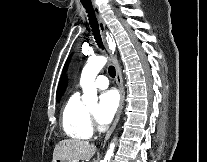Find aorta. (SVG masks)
Here are the masks:
<instances>
[{
	"label": "aorta",
	"mask_w": 207,
	"mask_h": 162,
	"mask_svg": "<svg viewBox=\"0 0 207 162\" xmlns=\"http://www.w3.org/2000/svg\"><path fill=\"white\" fill-rule=\"evenodd\" d=\"M107 62L106 57L92 56L89 57L85 67L82 70L80 85L83 90L82 100L87 106L96 105L98 101L97 89L95 85V78L100 70L105 66ZM115 144H110L103 162H110L111 157L114 154Z\"/></svg>",
	"instance_id": "obj_1"
}]
</instances>
